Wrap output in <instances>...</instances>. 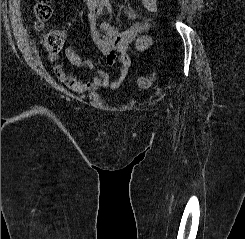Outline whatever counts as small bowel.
<instances>
[{
	"label": "small bowel",
	"instance_id": "obj_1",
	"mask_svg": "<svg viewBox=\"0 0 245 239\" xmlns=\"http://www.w3.org/2000/svg\"><path fill=\"white\" fill-rule=\"evenodd\" d=\"M142 3L149 12H155L157 9V0H142ZM124 12L130 18L137 16V13L130 8L125 9ZM89 26L92 41L105 56L107 65L114 67L118 64L119 70L116 78L111 79L105 71H97L92 81L84 82L64 69L58 52L49 54L48 60L55 63L53 70L57 78L74 92L84 93L99 88L118 89L125 81L130 69L131 62L127 53L130 45L134 43L139 51H144L151 45L150 37L144 34L148 25L146 23L134 24L128 30L120 31L107 23L98 24L92 13L89 15ZM60 35L64 40V33ZM64 53L73 66L90 70L94 68L93 62L81 58L72 46H66Z\"/></svg>",
	"mask_w": 245,
	"mask_h": 239
}]
</instances>
